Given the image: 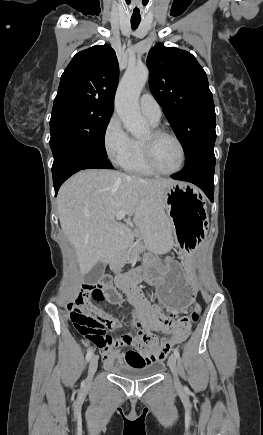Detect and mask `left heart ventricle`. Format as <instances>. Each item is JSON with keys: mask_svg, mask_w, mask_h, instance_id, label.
I'll list each match as a JSON object with an SVG mask.
<instances>
[{"mask_svg": "<svg viewBox=\"0 0 263 435\" xmlns=\"http://www.w3.org/2000/svg\"><path fill=\"white\" fill-rule=\"evenodd\" d=\"M143 140H151V132H148ZM153 155L156 165L163 171H173L180 166L181 150L169 137L153 140Z\"/></svg>", "mask_w": 263, "mask_h": 435, "instance_id": "b2bd125f", "label": "left heart ventricle"}]
</instances>
